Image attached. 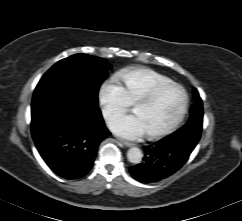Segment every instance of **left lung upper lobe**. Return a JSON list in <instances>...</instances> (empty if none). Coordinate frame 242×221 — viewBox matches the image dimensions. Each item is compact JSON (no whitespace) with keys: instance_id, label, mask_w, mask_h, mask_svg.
Returning a JSON list of instances; mask_svg holds the SVG:
<instances>
[{"instance_id":"left-lung-upper-lobe-1","label":"left lung upper lobe","mask_w":242,"mask_h":221,"mask_svg":"<svg viewBox=\"0 0 242 221\" xmlns=\"http://www.w3.org/2000/svg\"><path fill=\"white\" fill-rule=\"evenodd\" d=\"M194 104L190 109V118L188 122L178 131H195L201 133L203 122V105L199 93L194 89Z\"/></svg>"}]
</instances>
